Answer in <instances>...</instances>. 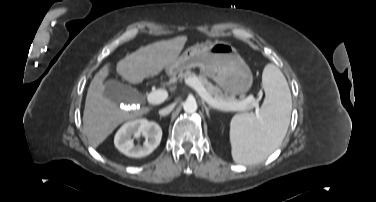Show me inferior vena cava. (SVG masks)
Wrapping results in <instances>:
<instances>
[{
    "mask_svg": "<svg viewBox=\"0 0 376 202\" xmlns=\"http://www.w3.org/2000/svg\"><path fill=\"white\" fill-rule=\"evenodd\" d=\"M173 108H174L173 105H169V106L159 110V115L160 116H166L173 110Z\"/></svg>",
    "mask_w": 376,
    "mask_h": 202,
    "instance_id": "obj_1",
    "label": "inferior vena cava"
}]
</instances>
